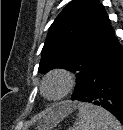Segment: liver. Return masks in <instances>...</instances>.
I'll return each instance as SVG.
<instances>
[{
	"label": "liver",
	"instance_id": "obj_1",
	"mask_svg": "<svg viewBox=\"0 0 123 130\" xmlns=\"http://www.w3.org/2000/svg\"><path fill=\"white\" fill-rule=\"evenodd\" d=\"M51 119V115H48V117L45 118L44 122H48ZM39 128H44V127H39Z\"/></svg>",
	"mask_w": 123,
	"mask_h": 130
}]
</instances>
